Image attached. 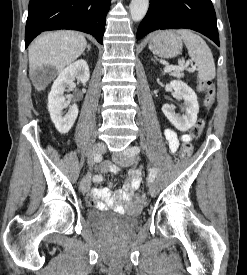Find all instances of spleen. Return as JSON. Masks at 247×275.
<instances>
[{
  "label": "spleen",
  "instance_id": "spleen-1",
  "mask_svg": "<svg viewBox=\"0 0 247 275\" xmlns=\"http://www.w3.org/2000/svg\"><path fill=\"white\" fill-rule=\"evenodd\" d=\"M176 32L183 38L189 56L197 65L198 78L201 81L214 79L216 74L214 58L206 42L190 30L180 29Z\"/></svg>",
  "mask_w": 247,
  "mask_h": 275
}]
</instances>
